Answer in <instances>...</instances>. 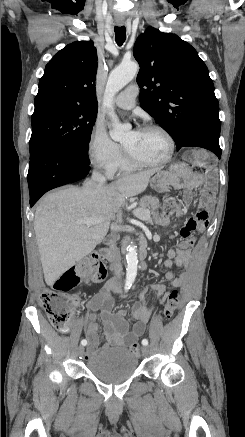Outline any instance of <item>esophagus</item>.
<instances>
[{"label":"esophagus","mask_w":245,"mask_h":437,"mask_svg":"<svg viewBox=\"0 0 245 437\" xmlns=\"http://www.w3.org/2000/svg\"><path fill=\"white\" fill-rule=\"evenodd\" d=\"M124 24V22H117L118 26H122Z\"/></svg>","instance_id":"1"}]
</instances>
